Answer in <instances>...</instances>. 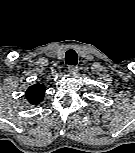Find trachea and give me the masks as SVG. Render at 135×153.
I'll list each match as a JSON object with an SVG mask.
<instances>
[{
    "label": "trachea",
    "mask_w": 135,
    "mask_h": 153,
    "mask_svg": "<svg viewBox=\"0 0 135 153\" xmlns=\"http://www.w3.org/2000/svg\"><path fill=\"white\" fill-rule=\"evenodd\" d=\"M65 62L68 65L75 66L78 62V56L75 50L70 49L65 54Z\"/></svg>",
    "instance_id": "3493384b"
}]
</instances>
